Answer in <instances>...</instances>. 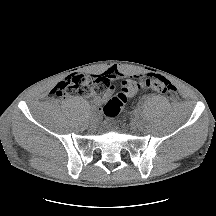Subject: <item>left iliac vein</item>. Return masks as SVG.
<instances>
[{
    "mask_svg": "<svg viewBox=\"0 0 216 216\" xmlns=\"http://www.w3.org/2000/svg\"><path fill=\"white\" fill-rule=\"evenodd\" d=\"M142 125V121L139 117H134L131 121V128L132 129H138L139 127H141Z\"/></svg>",
    "mask_w": 216,
    "mask_h": 216,
    "instance_id": "4c4485c4",
    "label": "left iliac vein"
}]
</instances>
